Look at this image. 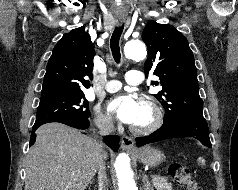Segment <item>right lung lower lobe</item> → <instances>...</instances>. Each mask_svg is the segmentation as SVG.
Here are the masks:
<instances>
[{"instance_id": "right-lung-lower-lobe-1", "label": "right lung lower lobe", "mask_w": 238, "mask_h": 190, "mask_svg": "<svg viewBox=\"0 0 238 190\" xmlns=\"http://www.w3.org/2000/svg\"><path fill=\"white\" fill-rule=\"evenodd\" d=\"M50 122H59L66 124L68 126L78 128V129H86L89 127V119L88 118H81V119H59V120H50V121H45V122H38L35 123L33 128H32V134L30 138V146L34 144L35 138H34V132L36 129L45 124V123H50ZM104 143L107 144L110 148H112L114 151H116L119 147V138L118 136H105L103 139Z\"/></svg>"}]
</instances>
